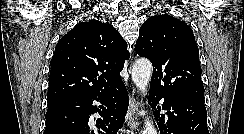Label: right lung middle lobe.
I'll return each mask as SVG.
<instances>
[{"mask_svg":"<svg viewBox=\"0 0 244 134\" xmlns=\"http://www.w3.org/2000/svg\"><path fill=\"white\" fill-rule=\"evenodd\" d=\"M66 99H58V100H53V101H48V106H51L53 104L65 101Z\"/></svg>","mask_w":244,"mask_h":134,"instance_id":"dd1d6c3e","label":"right lung middle lobe"}]
</instances>
